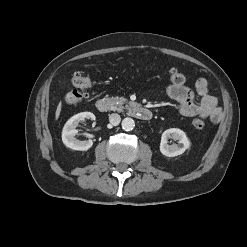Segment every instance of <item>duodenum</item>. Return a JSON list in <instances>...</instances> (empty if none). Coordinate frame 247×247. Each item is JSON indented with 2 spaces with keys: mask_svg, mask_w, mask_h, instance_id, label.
Masks as SVG:
<instances>
[{
  "mask_svg": "<svg viewBox=\"0 0 247 247\" xmlns=\"http://www.w3.org/2000/svg\"><path fill=\"white\" fill-rule=\"evenodd\" d=\"M94 105L100 112H108L111 108L109 101L105 98L97 99ZM128 113L131 116L143 121H148L152 118V112L148 108L137 104L131 105L128 109Z\"/></svg>",
  "mask_w": 247,
  "mask_h": 247,
  "instance_id": "1",
  "label": "duodenum"
}]
</instances>
